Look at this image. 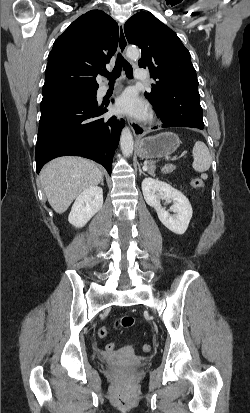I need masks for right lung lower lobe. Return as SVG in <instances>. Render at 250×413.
I'll return each instance as SVG.
<instances>
[{
    "instance_id": "right-lung-lower-lobe-1",
    "label": "right lung lower lobe",
    "mask_w": 250,
    "mask_h": 413,
    "mask_svg": "<svg viewBox=\"0 0 250 413\" xmlns=\"http://www.w3.org/2000/svg\"><path fill=\"white\" fill-rule=\"evenodd\" d=\"M107 106V105H106ZM35 150L36 170L65 155L82 156L103 165L111 174L123 119L103 118L107 112L96 98L69 96L43 98Z\"/></svg>"
}]
</instances>
